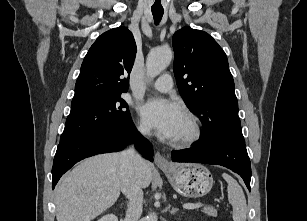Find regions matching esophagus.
<instances>
[{"label": "esophagus", "instance_id": "34e87169", "mask_svg": "<svg viewBox=\"0 0 307 221\" xmlns=\"http://www.w3.org/2000/svg\"><path fill=\"white\" fill-rule=\"evenodd\" d=\"M154 161H155L156 165L160 168H168V167L171 166L170 162L163 155H161L159 152H156L155 157H154Z\"/></svg>", "mask_w": 307, "mask_h": 221}]
</instances>
